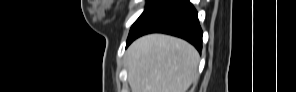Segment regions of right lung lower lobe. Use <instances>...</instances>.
<instances>
[{
	"mask_svg": "<svg viewBox=\"0 0 296 92\" xmlns=\"http://www.w3.org/2000/svg\"><path fill=\"white\" fill-rule=\"evenodd\" d=\"M161 32L183 38L202 49V29L189 0H156L133 24L127 46L141 35Z\"/></svg>",
	"mask_w": 296,
	"mask_h": 92,
	"instance_id": "obj_1",
	"label": "right lung lower lobe"
}]
</instances>
